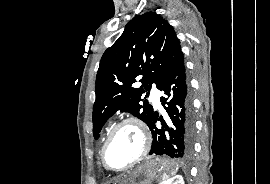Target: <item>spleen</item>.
<instances>
[{
	"label": "spleen",
	"mask_w": 270,
	"mask_h": 184,
	"mask_svg": "<svg viewBox=\"0 0 270 184\" xmlns=\"http://www.w3.org/2000/svg\"><path fill=\"white\" fill-rule=\"evenodd\" d=\"M176 173V172H175ZM175 173H173L172 175H174ZM171 175V176H172ZM170 176H164L163 178H162V180H166V179H168Z\"/></svg>",
	"instance_id": "obj_1"
}]
</instances>
